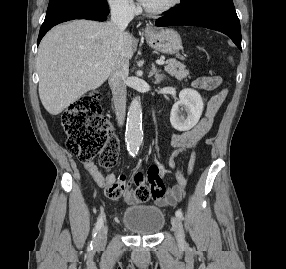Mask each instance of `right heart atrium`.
I'll return each instance as SVG.
<instances>
[{"label": "right heart atrium", "instance_id": "d8ad5b80", "mask_svg": "<svg viewBox=\"0 0 286 269\" xmlns=\"http://www.w3.org/2000/svg\"><path fill=\"white\" fill-rule=\"evenodd\" d=\"M107 2L112 9L122 14L132 15L137 10L134 0H107Z\"/></svg>", "mask_w": 286, "mask_h": 269}]
</instances>
